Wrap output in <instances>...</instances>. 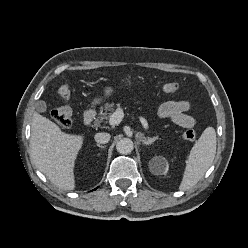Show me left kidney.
I'll return each instance as SVG.
<instances>
[{
    "instance_id": "left-kidney-1",
    "label": "left kidney",
    "mask_w": 248,
    "mask_h": 248,
    "mask_svg": "<svg viewBox=\"0 0 248 248\" xmlns=\"http://www.w3.org/2000/svg\"><path fill=\"white\" fill-rule=\"evenodd\" d=\"M149 168L154 174L166 175L169 169V164L164 157L155 156L150 160Z\"/></svg>"
}]
</instances>
